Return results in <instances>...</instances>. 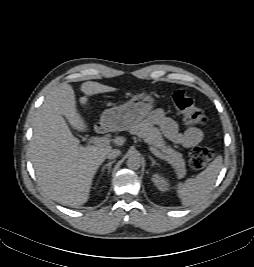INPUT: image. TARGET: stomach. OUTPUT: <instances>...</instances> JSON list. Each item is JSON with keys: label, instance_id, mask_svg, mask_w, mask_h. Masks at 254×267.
<instances>
[{"label": "stomach", "instance_id": "1", "mask_svg": "<svg viewBox=\"0 0 254 267\" xmlns=\"http://www.w3.org/2000/svg\"><path fill=\"white\" fill-rule=\"evenodd\" d=\"M155 106L152 94L141 92L133 95L126 103L106 109L100 123L111 130H129L147 117Z\"/></svg>", "mask_w": 254, "mask_h": 267}]
</instances>
